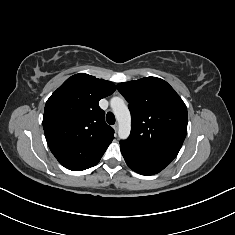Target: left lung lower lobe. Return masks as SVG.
I'll list each match as a JSON object with an SVG mask.
<instances>
[{"label": "left lung lower lobe", "instance_id": "0a47b994", "mask_svg": "<svg viewBox=\"0 0 235 235\" xmlns=\"http://www.w3.org/2000/svg\"><path fill=\"white\" fill-rule=\"evenodd\" d=\"M121 152L126 164L135 172L142 175H153L163 170L168 164L150 158L140 152L132 151L128 146L120 143Z\"/></svg>", "mask_w": 235, "mask_h": 235}]
</instances>
